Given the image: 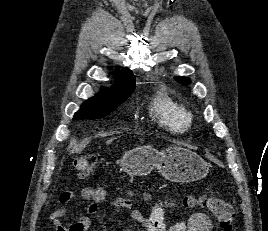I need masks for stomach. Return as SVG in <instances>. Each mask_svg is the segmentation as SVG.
Here are the masks:
<instances>
[{
    "label": "stomach",
    "instance_id": "obj_1",
    "mask_svg": "<svg viewBox=\"0 0 268 231\" xmlns=\"http://www.w3.org/2000/svg\"><path fill=\"white\" fill-rule=\"evenodd\" d=\"M119 164L130 176H145L157 169L165 179L176 183L201 180L210 168L197 153L179 146L161 151L151 146H138L125 152Z\"/></svg>",
    "mask_w": 268,
    "mask_h": 231
}]
</instances>
